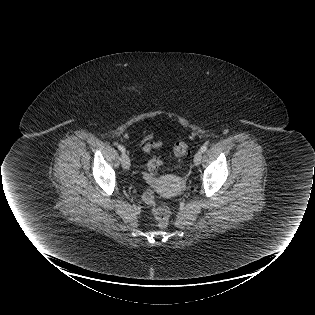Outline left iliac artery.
<instances>
[{"label":"left iliac artery","mask_w":315,"mask_h":315,"mask_svg":"<svg viewBox=\"0 0 315 315\" xmlns=\"http://www.w3.org/2000/svg\"><path fill=\"white\" fill-rule=\"evenodd\" d=\"M207 145H203L202 147H201V149H200V151L202 152V153H204L206 150H207Z\"/></svg>","instance_id":"44dca946"}]
</instances>
